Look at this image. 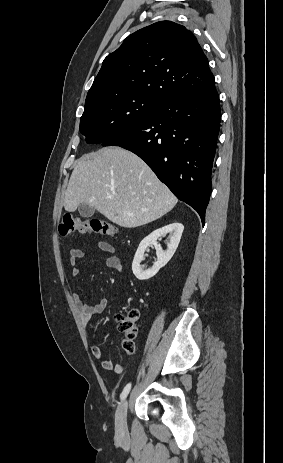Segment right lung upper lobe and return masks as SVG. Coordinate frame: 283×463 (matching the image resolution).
<instances>
[{
  "label": "right lung upper lobe",
  "instance_id": "1",
  "mask_svg": "<svg viewBox=\"0 0 283 463\" xmlns=\"http://www.w3.org/2000/svg\"><path fill=\"white\" fill-rule=\"evenodd\" d=\"M214 84L193 33L172 21H160L129 35L104 59L85 102L119 93L161 102Z\"/></svg>",
  "mask_w": 283,
  "mask_h": 463
}]
</instances>
